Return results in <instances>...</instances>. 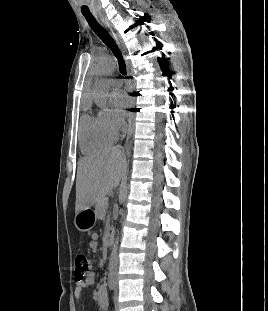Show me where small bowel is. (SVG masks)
I'll use <instances>...</instances> for the list:
<instances>
[{
	"instance_id": "obj_1",
	"label": "small bowel",
	"mask_w": 268,
	"mask_h": 311,
	"mask_svg": "<svg viewBox=\"0 0 268 311\" xmlns=\"http://www.w3.org/2000/svg\"><path fill=\"white\" fill-rule=\"evenodd\" d=\"M99 235L94 233L91 236V240L88 243V247L92 253H96L99 248L98 243ZM95 283V273L89 272L84 280L76 281L74 290V300L77 304L81 303L82 293L85 289H91ZM97 308L99 311L107 309L109 304V298L107 289L104 285L100 286L95 293Z\"/></svg>"
}]
</instances>
